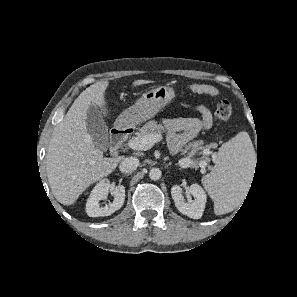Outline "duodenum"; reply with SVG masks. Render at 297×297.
Here are the masks:
<instances>
[{"label": "duodenum", "instance_id": "duodenum-1", "mask_svg": "<svg viewBox=\"0 0 297 297\" xmlns=\"http://www.w3.org/2000/svg\"><path fill=\"white\" fill-rule=\"evenodd\" d=\"M129 133V127L123 123L119 124L112 130L110 135V146L113 152L119 151Z\"/></svg>", "mask_w": 297, "mask_h": 297}]
</instances>
